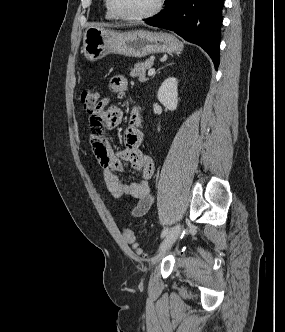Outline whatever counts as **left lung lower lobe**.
I'll return each instance as SVG.
<instances>
[{"mask_svg":"<svg viewBox=\"0 0 285 332\" xmlns=\"http://www.w3.org/2000/svg\"><path fill=\"white\" fill-rule=\"evenodd\" d=\"M223 4L224 0H168L165 10L144 21L174 31L185 40L202 47L217 70Z\"/></svg>","mask_w":285,"mask_h":332,"instance_id":"0a47b994","label":"left lung lower lobe"}]
</instances>
